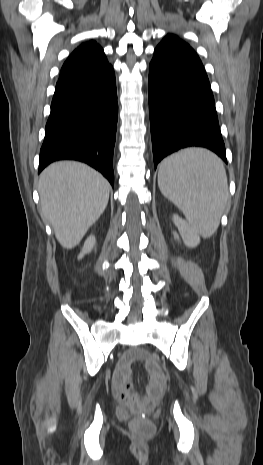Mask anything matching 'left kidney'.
<instances>
[{
	"label": "left kidney",
	"instance_id": "obj_1",
	"mask_svg": "<svg viewBox=\"0 0 263 465\" xmlns=\"http://www.w3.org/2000/svg\"><path fill=\"white\" fill-rule=\"evenodd\" d=\"M173 222L177 226L179 234L187 247L193 248L200 243L199 236L186 221L178 215H173ZM174 238L179 239L178 234L174 233Z\"/></svg>",
	"mask_w": 263,
	"mask_h": 465
}]
</instances>
